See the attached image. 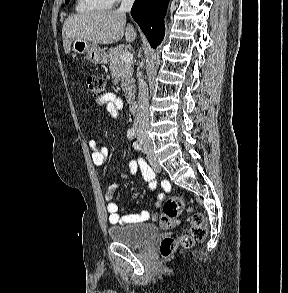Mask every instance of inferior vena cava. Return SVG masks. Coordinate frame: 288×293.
Here are the masks:
<instances>
[{
    "instance_id": "obj_1",
    "label": "inferior vena cava",
    "mask_w": 288,
    "mask_h": 293,
    "mask_svg": "<svg viewBox=\"0 0 288 293\" xmlns=\"http://www.w3.org/2000/svg\"><path fill=\"white\" fill-rule=\"evenodd\" d=\"M134 0H122L121 6L118 12L125 13L131 10ZM139 93H138V109L135 118V130L138 137L144 138L149 141L148 129H149V100H148V86L144 79L139 75Z\"/></svg>"
}]
</instances>
